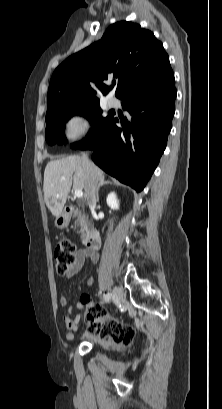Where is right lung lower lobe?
I'll return each instance as SVG.
<instances>
[{"label": "right lung lower lobe", "mask_w": 222, "mask_h": 409, "mask_svg": "<svg viewBox=\"0 0 222 409\" xmlns=\"http://www.w3.org/2000/svg\"><path fill=\"white\" fill-rule=\"evenodd\" d=\"M159 88L125 97L122 105L129 118H112L94 144L92 160L108 174L137 192L150 179L167 144L175 113L176 88L173 71L157 77Z\"/></svg>", "instance_id": "98d812e1"}]
</instances>
